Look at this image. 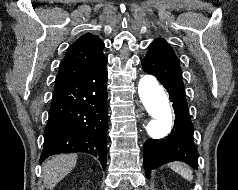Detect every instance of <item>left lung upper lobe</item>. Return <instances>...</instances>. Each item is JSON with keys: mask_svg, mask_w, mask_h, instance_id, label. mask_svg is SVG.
<instances>
[{"mask_svg": "<svg viewBox=\"0 0 238 190\" xmlns=\"http://www.w3.org/2000/svg\"><path fill=\"white\" fill-rule=\"evenodd\" d=\"M149 51L154 52L156 54L164 55V56H171L176 57L174 50L168 45V43L158 38L153 43L149 45Z\"/></svg>", "mask_w": 238, "mask_h": 190, "instance_id": "5c2ea615", "label": "left lung upper lobe"}]
</instances>
